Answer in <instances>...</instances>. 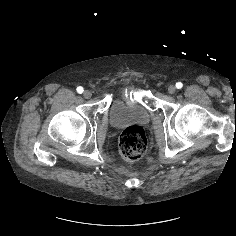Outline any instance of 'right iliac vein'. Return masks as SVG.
<instances>
[{
    "label": "right iliac vein",
    "instance_id": "obj_1",
    "mask_svg": "<svg viewBox=\"0 0 236 236\" xmlns=\"http://www.w3.org/2000/svg\"><path fill=\"white\" fill-rule=\"evenodd\" d=\"M83 96H84V98L89 99V98H91L92 93H91V91H89V90H85V91L83 92Z\"/></svg>",
    "mask_w": 236,
    "mask_h": 236
}]
</instances>
